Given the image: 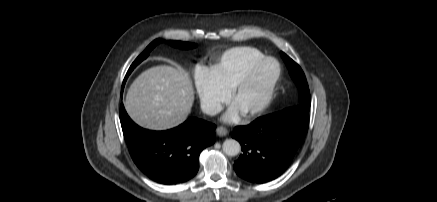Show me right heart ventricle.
Wrapping results in <instances>:
<instances>
[{
    "mask_svg": "<svg viewBox=\"0 0 437 202\" xmlns=\"http://www.w3.org/2000/svg\"><path fill=\"white\" fill-rule=\"evenodd\" d=\"M264 57L265 55L254 47H234L225 51L211 70L220 83L231 91L247 69Z\"/></svg>",
    "mask_w": 437,
    "mask_h": 202,
    "instance_id": "1",
    "label": "right heart ventricle"
}]
</instances>
